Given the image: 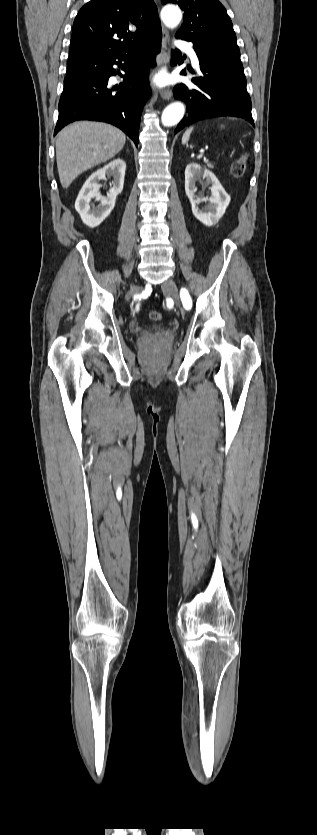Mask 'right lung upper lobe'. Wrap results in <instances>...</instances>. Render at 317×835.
<instances>
[{
	"label": "right lung upper lobe",
	"instance_id": "right-lung-upper-lobe-1",
	"mask_svg": "<svg viewBox=\"0 0 317 835\" xmlns=\"http://www.w3.org/2000/svg\"><path fill=\"white\" fill-rule=\"evenodd\" d=\"M161 30L152 0H91L77 14L69 54H117Z\"/></svg>",
	"mask_w": 317,
	"mask_h": 835
}]
</instances>
